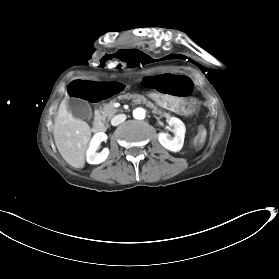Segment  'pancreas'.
<instances>
[{
  "instance_id": "cf45deb5",
  "label": "pancreas",
  "mask_w": 279,
  "mask_h": 279,
  "mask_svg": "<svg viewBox=\"0 0 279 279\" xmlns=\"http://www.w3.org/2000/svg\"><path fill=\"white\" fill-rule=\"evenodd\" d=\"M127 98L131 99L133 98V101L137 103L138 105H144L146 107H149L150 109L153 110V112L157 115H160L162 113V110L154 103L151 102L150 100L143 99V96L141 94L138 95H131V94H125V95H120L117 98L112 99L109 103L103 104V107L100 110V113L102 114L103 119H111L115 113H117L119 110L114 107V103L117 100Z\"/></svg>"
}]
</instances>
